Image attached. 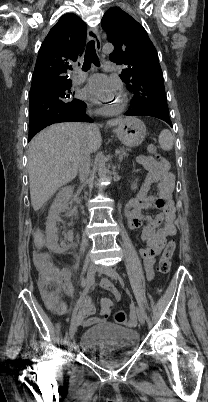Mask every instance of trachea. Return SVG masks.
<instances>
[{"mask_svg":"<svg viewBox=\"0 0 208 402\" xmlns=\"http://www.w3.org/2000/svg\"><path fill=\"white\" fill-rule=\"evenodd\" d=\"M92 63H94V65H96L97 67L100 65L99 58H98L96 50H95L94 40H90V42H88V44L86 46L83 70L84 71L89 70Z\"/></svg>","mask_w":208,"mask_h":402,"instance_id":"obj_1","label":"trachea"}]
</instances>
